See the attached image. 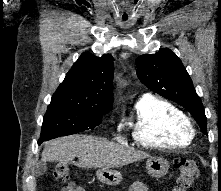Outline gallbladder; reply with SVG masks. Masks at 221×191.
<instances>
[{"label": "gallbladder", "instance_id": "obj_1", "mask_svg": "<svg viewBox=\"0 0 221 191\" xmlns=\"http://www.w3.org/2000/svg\"><path fill=\"white\" fill-rule=\"evenodd\" d=\"M47 171V164L45 162H39L34 168L35 176H41Z\"/></svg>", "mask_w": 221, "mask_h": 191}]
</instances>
